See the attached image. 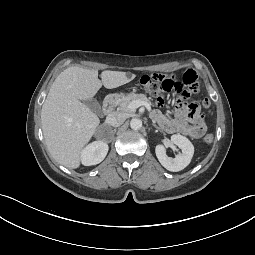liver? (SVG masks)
I'll list each match as a JSON object with an SVG mask.
<instances>
[{"label": "liver", "mask_w": 255, "mask_h": 255, "mask_svg": "<svg viewBox=\"0 0 255 255\" xmlns=\"http://www.w3.org/2000/svg\"><path fill=\"white\" fill-rule=\"evenodd\" d=\"M136 77L126 72L98 71L71 66L53 82L41 110L45 143L51 156L61 165L80 166L81 152L91 140L100 120L84 103L92 99L102 85L107 89L122 86Z\"/></svg>", "instance_id": "liver-1"}]
</instances>
